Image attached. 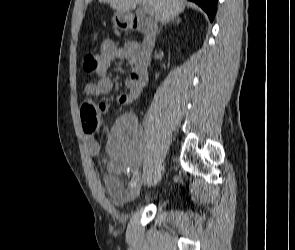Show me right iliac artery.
Returning a JSON list of instances; mask_svg holds the SVG:
<instances>
[{"label":"right iliac artery","instance_id":"1","mask_svg":"<svg viewBox=\"0 0 295 250\" xmlns=\"http://www.w3.org/2000/svg\"><path fill=\"white\" fill-rule=\"evenodd\" d=\"M138 180H139V174L136 172L130 181V186L133 187L137 183Z\"/></svg>","mask_w":295,"mask_h":250}]
</instances>
